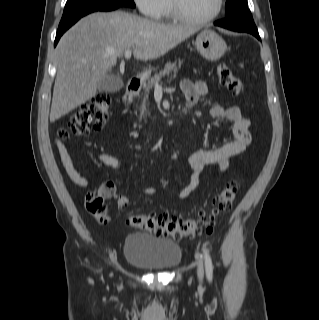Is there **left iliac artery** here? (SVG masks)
Here are the masks:
<instances>
[{
	"label": "left iliac artery",
	"mask_w": 319,
	"mask_h": 320,
	"mask_svg": "<svg viewBox=\"0 0 319 320\" xmlns=\"http://www.w3.org/2000/svg\"><path fill=\"white\" fill-rule=\"evenodd\" d=\"M204 258H205V266H206V274L209 281L212 280L213 276V265L212 260L209 254V251L207 249H203Z\"/></svg>",
	"instance_id": "1"
}]
</instances>
